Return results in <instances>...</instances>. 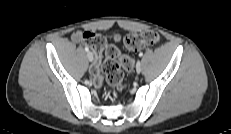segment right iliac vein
<instances>
[{"instance_id": "1", "label": "right iliac vein", "mask_w": 231, "mask_h": 134, "mask_svg": "<svg viewBox=\"0 0 231 134\" xmlns=\"http://www.w3.org/2000/svg\"><path fill=\"white\" fill-rule=\"evenodd\" d=\"M87 59H88L90 62L93 61V54H92V52H90V51L87 52Z\"/></svg>"}]
</instances>
